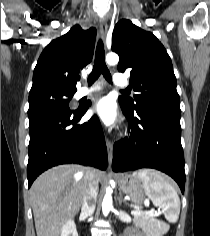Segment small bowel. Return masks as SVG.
I'll list each match as a JSON object with an SVG mask.
<instances>
[{"mask_svg": "<svg viewBox=\"0 0 210 236\" xmlns=\"http://www.w3.org/2000/svg\"><path fill=\"white\" fill-rule=\"evenodd\" d=\"M127 236H133L132 232H129V233L127 234Z\"/></svg>", "mask_w": 210, "mask_h": 236, "instance_id": "c3829d8e", "label": "small bowel"}]
</instances>
